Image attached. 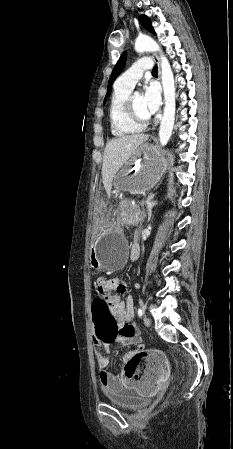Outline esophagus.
<instances>
[{"instance_id":"esophagus-1","label":"esophagus","mask_w":233,"mask_h":449,"mask_svg":"<svg viewBox=\"0 0 233 449\" xmlns=\"http://www.w3.org/2000/svg\"><path fill=\"white\" fill-rule=\"evenodd\" d=\"M152 57H153L154 61L157 63V65H158V71H159V76H160L161 75V66H160L159 58H158V56L156 54H153Z\"/></svg>"}]
</instances>
